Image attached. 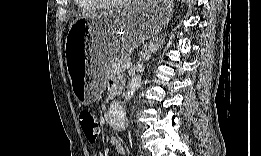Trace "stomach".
<instances>
[{"instance_id":"1","label":"stomach","mask_w":261,"mask_h":156,"mask_svg":"<svg viewBox=\"0 0 261 156\" xmlns=\"http://www.w3.org/2000/svg\"><path fill=\"white\" fill-rule=\"evenodd\" d=\"M166 2H134L108 16L77 20L65 42L68 76L76 100L82 105L96 101L105 85V66L118 53H127L156 35L170 20ZM89 46L90 63L78 67L75 55Z\"/></svg>"}]
</instances>
